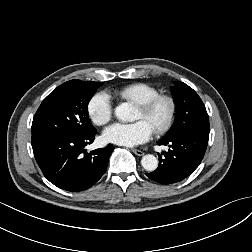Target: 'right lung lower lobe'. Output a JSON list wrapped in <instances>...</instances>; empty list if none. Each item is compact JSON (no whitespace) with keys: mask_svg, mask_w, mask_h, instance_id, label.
I'll return each instance as SVG.
<instances>
[{"mask_svg":"<svg viewBox=\"0 0 252 252\" xmlns=\"http://www.w3.org/2000/svg\"><path fill=\"white\" fill-rule=\"evenodd\" d=\"M96 131L83 136H32L35 159L46 179L72 192L83 191L105 173L114 146L87 153L84 147L94 141Z\"/></svg>","mask_w":252,"mask_h":252,"instance_id":"obj_1","label":"right lung lower lobe"}]
</instances>
